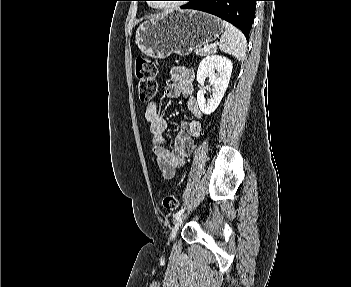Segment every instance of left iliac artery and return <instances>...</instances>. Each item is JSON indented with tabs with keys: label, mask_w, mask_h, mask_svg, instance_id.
Wrapping results in <instances>:
<instances>
[{
	"label": "left iliac artery",
	"mask_w": 351,
	"mask_h": 287,
	"mask_svg": "<svg viewBox=\"0 0 351 287\" xmlns=\"http://www.w3.org/2000/svg\"><path fill=\"white\" fill-rule=\"evenodd\" d=\"M185 211V207L184 208H181L175 215V219H178Z\"/></svg>",
	"instance_id": "left-iliac-artery-1"
}]
</instances>
